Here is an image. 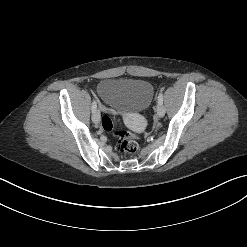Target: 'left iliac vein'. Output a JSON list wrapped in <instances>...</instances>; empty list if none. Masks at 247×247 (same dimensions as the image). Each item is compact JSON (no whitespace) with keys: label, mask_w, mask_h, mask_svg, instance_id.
Segmentation results:
<instances>
[{"label":"left iliac vein","mask_w":247,"mask_h":247,"mask_svg":"<svg viewBox=\"0 0 247 247\" xmlns=\"http://www.w3.org/2000/svg\"><path fill=\"white\" fill-rule=\"evenodd\" d=\"M157 115L160 118L165 115V108H164L163 104H158L157 105Z\"/></svg>","instance_id":"left-iliac-vein-1"}]
</instances>
